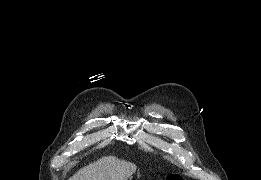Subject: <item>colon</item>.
I'll return each instance as SVG.
<instances>
[{"instance_id": "obj_1", "label": "colon", "mask_w": 261, "mask_h": 180, "mask_svg": "<svg viewBox=\"0 0 261 180\" xmlns=\"http://www.w3.org/2000/svg\"><path fill=\"white\" fill-rule=\"evenodd\" d=\"M167 179L168 180H180L181 178H180V175H178V174H170V175H168Z\"/></svg>"}]
</instances>
